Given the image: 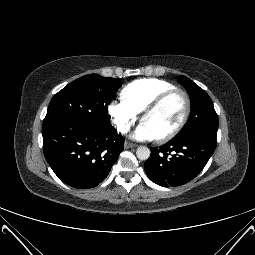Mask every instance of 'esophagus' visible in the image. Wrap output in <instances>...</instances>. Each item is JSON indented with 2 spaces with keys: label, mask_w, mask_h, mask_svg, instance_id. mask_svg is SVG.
I'll return each mask as SVG.
<instances>
[{
  "label": "esophagus",
  "mask_w": 255,
  "mask_h": 255,
  "mask_svg": "<svg viewBox=\"0 0 255 255\" xmlns=\"http://www.w3.org/2000/svg\"><path fill=\"white\" fill-rule=\"evenodd\" d=\"M136 145L135 144H133V143H131V142H128V141H125L124 142V147L125 148H133V147H135Z\"/></svg>",
  "instance_id": "esophagus-1"
}]
</instances>
